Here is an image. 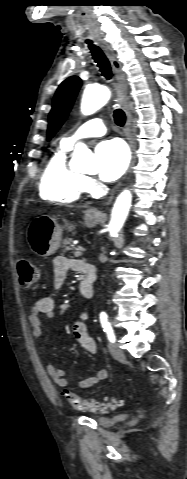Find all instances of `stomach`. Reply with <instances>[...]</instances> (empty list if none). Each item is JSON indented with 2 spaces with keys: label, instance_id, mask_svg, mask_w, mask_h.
Returning a JSON list of instances; mask_svg holds the SVG:
<instances>
[{
  "label": "stomach",
  "instance_id": "0dacf381",
  "mask_svg": "<svg viewBox=\"0 0 187 479\" xmlns=\"http://www.w3.org/2000/svg\"><path fill=\"white\" fill-rule=\"evenodd\" d=\"M99 221V215L90 211L85 213L84 224L94 227ZM68 226V225H67ZM72 229L73 226H68ZM62 227L57 220L49 215H40L33 219L27 228V240L32 251L39 256H49L56 252L62 239Z\"/></svg>",
  "mask_w": 187,
  "mask_h": 479
}]
</instances>
